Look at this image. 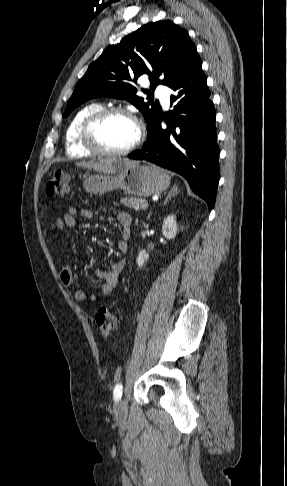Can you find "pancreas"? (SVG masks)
<instances>
[{"instance_id":"obj_1","label":"pancreas","mask_w":287,"mask_h":486,"mask_svg":"<svg viewBox=\"0 0 287 486\" xmlns=\"http://www.w3.org/2000/svg\"><path fill=\"white\" fill-rule=\"evenodd\" d=\"M120 202L129 208L134 209L135 211H140L143 210L144 208L142 207L143 204L147 203L145 199L141 198H134V197H125L121 198Z\"/></svg>"}]
</instances>
